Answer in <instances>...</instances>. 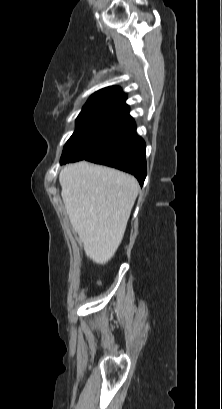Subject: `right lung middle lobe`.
Masks as SVG:
<instances>
[{
    "mask_svg": "<svg viewBox=\"0 0 222 409\" xmlns=\"http://www.w3.org/2000/svg\"><path fill=\"white\" fill-rule=\"evenodd\" d=\"M127 111L124 107L83 109L77 117L76 130L64 147L60 163L83 160L97 151Z\"/></svg>",
    "mask_w": 222,
    "mask_h": 409,
    "instance_id": "dd1d6c3e",
    "label": "right lung middle lobe"
}]
</instances>
